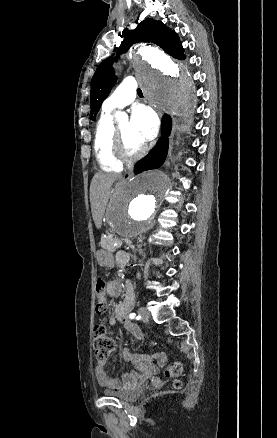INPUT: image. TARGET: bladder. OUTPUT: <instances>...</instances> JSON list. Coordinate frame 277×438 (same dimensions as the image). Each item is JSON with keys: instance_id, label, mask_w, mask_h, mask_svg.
<instances>
[{"instance_id": "bladder-1", "label": "bladder", "mask_w": 277, "mask_h": 438, "mask_svg": "<svg viewBox=\"0 0 277 438\" xmlns=\"http://www.w3.org/2000/svg\"><path fill=\"white\" fill-rule=\"evenodd\" d=\"M142 391V388L139 384V382H136L130 386H128L126 389H102L103 395L113 396L125 403H130L131 401L137 399L140 396V392Z\"/></svg>"}]
</instances>
